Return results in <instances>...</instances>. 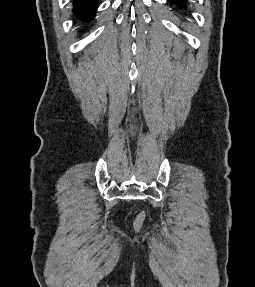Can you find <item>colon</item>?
I'll return each instance as SVG.
<instances>
[{"mask_svg":"<svg viewBox=\"0 0 255 287\" xmlns=\"http://www.w3.org/2000/svg\"><path fill=\"white\" fill-rule=\"evenodd\" d=\"M146 220V214L144 211L140 212L134 220V229L136 231L141 230Z\"/></svg>","mask_w":255,"mask_h":287,"instance_id":"obj_1","label":"colon"}]
</instances>
